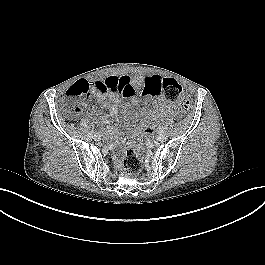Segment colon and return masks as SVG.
Instances as JSON below:
<instances>
[{
    "label": "colon",
    "instance_id": "5ec220e1",
    "mask_svg": "<svg viewBox=\"0 0 265 265\" xmlns=\"http://www.w3.org/2000/svg\"><path fill=\"white\" fill-rule=\"evenodd\" d=\"M90 87L89 82L81 80L74 83L67 90V94L73 98H82L88 94ZM152 93L155 96L162 94L167 102L176 103L184 110L190 107V100L183 96L181 85L173 78L154 79L152 81ZM150 106L151 103H147V107ZM74 110L79 111L80 108L74 107ZM137 140V133H134L122 159L123 168L129 175H136L142 164Z\"/></svg>",
    "mask_w": 265,
    "mask_h": 265
}]
</instances>
